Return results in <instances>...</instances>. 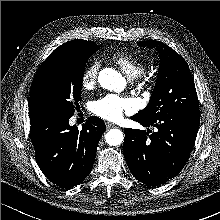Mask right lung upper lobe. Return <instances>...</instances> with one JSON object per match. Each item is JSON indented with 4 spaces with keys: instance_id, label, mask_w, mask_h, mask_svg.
Masks as SVG:
<instances>
[{
    "instance_id": "obj_1",
    "label": "right lung upper lobe",
    "mask_w": 220,
    "mask_h": 220,
    "mask_svg": "<svg viewBox=\"0 0 220 220\" xmlns=\"http://www.w3.org/2000/svg\"><path fill=\"white\" fill-rule=\"evenodd\" d=\"M81 44H94V43L91 42V41H86V40H81V39L73 40V41L64 43L63 45H61V46H59L58 48H56V49L50 54V56H52V55L58 53V52L61 51V50L66 49V48H68V47L75 46V45H81ZM36 78H37V72H36V75H35L33 81H35ZM34 115H36V114L33 113V112H29V116H30V117H32V116H34Z\"/></svg>"
}]
</instances>
